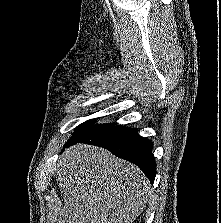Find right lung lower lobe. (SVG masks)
<instances>
[{
  "mask_svg": "<svg viewBox=\"0 0 221 223\" xmlns=\"http://www.w3.org/2000/svg\"><path fill=\"white\" fill-rule=\"evenodd\" d=\"M86 143L108 149L115 156L137 165L151 183L156 175V163L152 154L153 143L137 134V129L112 124L83 138L65 144Z\"/></svg>",
  "mask_w": 221,
  "mask_h": 223,
  "instance_id": "obj_1",
  "label": "right lung lower lobe"
}]
</instances>
